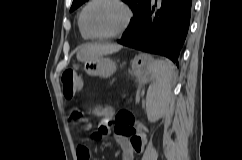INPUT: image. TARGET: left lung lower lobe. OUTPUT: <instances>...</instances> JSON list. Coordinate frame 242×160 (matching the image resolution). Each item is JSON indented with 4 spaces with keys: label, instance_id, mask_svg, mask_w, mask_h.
Wrapping results in <instances>:
<instances>
[{
    "label": "left lung lower lobe",
    "instance_id": "1",
    "mask_svg": "<svg viewBox=\"0 0 242 160\" xmlns=\"http://www.w3.org/2000/svg\"><path fill=\"white\" fill-rule=\"evenodd\" d=\"M191 11L192 0H147L118 43L165 56L178 65Z\"/></svg>",
    "mask_w": 242,
    "mask_h": 160
}]
</instances>
